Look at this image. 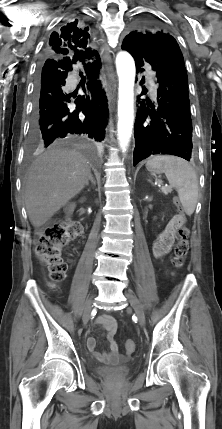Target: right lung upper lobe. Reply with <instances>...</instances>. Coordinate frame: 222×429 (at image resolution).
Listing matches in <instances>:
<instances>
[{"label": "right lung upper lobe", "instance_id": "1", "mask_svg": "<svg viewBox=\"0 0 222 429\" xmlns=\"http://www.w3.org/2000/svg\"><path fill=\"white\" fill-rule=\"evenodd\" d=\"M61 33L54 32L51 35L50 43L47 46V56L49 58H68L74 62L93 60L98 58L95 50L87 48V38L89 34L83 29L75 26L62 28Z\"/></svg>", "mask_w": 222, "mask_h": 429}]
</instances>
